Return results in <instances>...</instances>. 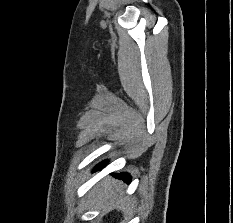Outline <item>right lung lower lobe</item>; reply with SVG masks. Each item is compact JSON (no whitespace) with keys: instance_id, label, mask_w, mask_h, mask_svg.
Masks as SVG:
<instances>
[{"instance_id":"1","label":"right lung lower lobe","mask_w":233,"mask_h":223,"mask_svg":"<svg viewBox=\"0 0 233 223\" xmlns=\"http://www.w3.org/2000/svg\"><path fill=\"white\" fill-rule=\"evenodd\" d=\"M105 165V162L100 163L99 165L96 166L97 169L102 168ZM117 178L123 179L127 183L130 182V176L127 173H120L115 175Z\"/></svg>"}]
</instances>
